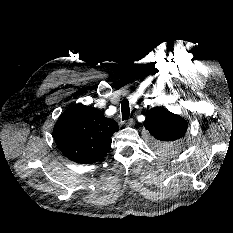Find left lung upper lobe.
<instances>
[{
	"label": "left lung upper lobe",
	"mask_w": 233,
	"mask_h": 233,
	"mask_svg": "<svg viewBox=\"0 0 233 233\" xmlns=\"http://www.w3.org/2000/svg\"><path fill=\"white\" fill-rule=\"evenodd\" d=\"M144 126L151 134L153 146L172 152L175 151L178 140L185 134L188 123L163 107H154L146 113Z\"/></svg>",
	"instance_id": "obj_1"
}]
</instances>
